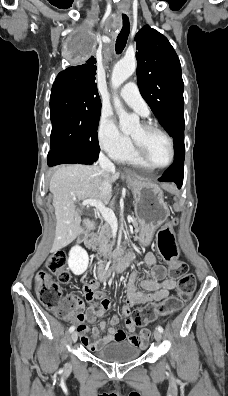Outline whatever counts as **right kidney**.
<instances>
[{"mask_svg": "<svg viewBox=\"0 0 228 396\" xmlns=\"http://www.w3.org/2000/svg\"><path fill=\"white\" fill-rule=\"evenodd\" d=\"M89 257L85 249L74 246L69 252L68 266L75 275L83 274L88 267Z\"/></svg>", "mask_w": 228, "mask_h": 396, "instance_id": "right-kidney-1", "label": "right kidney"}]
</instances>
